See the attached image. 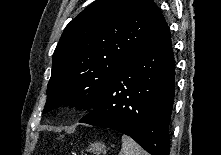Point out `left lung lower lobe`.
Masks as SVG:
<instances>
[{
    "mask_svg": "<svg viewBox=\"0 0 221 155\" xmlns=\"http://www.w3.org/2000/svg\"><path fill=\"white\" fill-rule=\"evenodd\" d=\"M175 60L163 15L123 63L93 110L79 122L132 137L151 155H169Z\"/></svg>",
    "mask_w": 221,
    "mask_h": 155,
    "instance_id": "0a47b994",
    "label": "left lung lower lobe"
}]
</instances>
